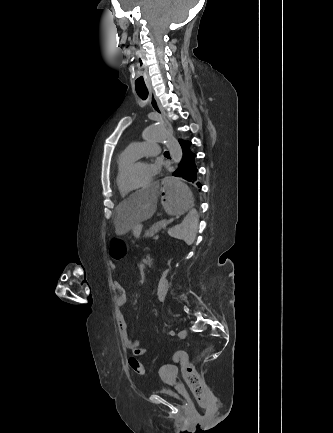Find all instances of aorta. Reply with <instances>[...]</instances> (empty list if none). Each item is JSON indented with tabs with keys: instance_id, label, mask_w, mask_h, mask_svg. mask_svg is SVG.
<instances>
[{
	"instance_id": "obj_1",
	"label": "aorta",
	"mask_w": 333,
	"mask_h": 433,
	"mask_svg": "<svg viewBox=\"0 0 333 433\" xmlns=\"http://www.w3.org/2000/svg\"><path fill=\"white\" fill-rule=\"evenodd\" d=\"M142 138L147 142L166 144L173 163L178 164L181 161L182 149L179 142L163 126L147 127L142 133Z\"/></svg>"
}]
</instances>
